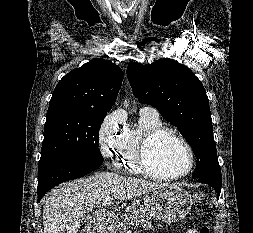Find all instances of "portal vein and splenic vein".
<instances>
[{
	"label": "portal vein and splenic vein",
	"mask_w": 253,
	"mask_h": 233,
	"mask_svg": "<svg viewBox=\"0 0 253 233\" xmlns=\"http://www.w3.org/2000/svg\"><path fill=\"white\" fill-rule=\"evenodd\" d=\"M110 201H111V197L110 196H107V197H105L104 199H103V204L105 205V204H108V203H110Z\"/></svg>",
	"instance_id": "portal-vein-and-splenic-vein-1"
}]
</instances>
